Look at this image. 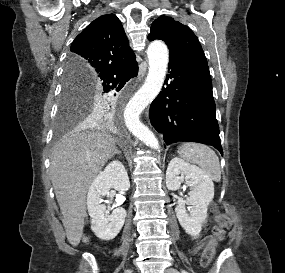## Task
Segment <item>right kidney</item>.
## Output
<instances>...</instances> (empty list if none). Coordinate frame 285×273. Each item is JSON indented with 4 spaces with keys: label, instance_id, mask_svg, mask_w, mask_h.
<instances>
[{
    "label": "right kidney",
    "instance_id": "right-kidney-1",
    "mask_svg": "<svg viewBox=\"0 0 285 273\" xmlns=\"http://www.w3.org/2000/svg\"><path fill=\"white\" fill-rule=\"evenodd\" d=\"M111 188L117 191H127L130 188L125 167L120 161H112L100 172L91 183L87 195L88 213L91 217V229L102 240L114 239L124 225L126 211L116 208L109 215L103 197L109 195Z\"/></svg>",
    "mask_w": 285,
    "mask_h": 273
}]
</instances>
